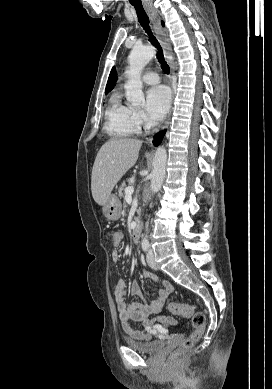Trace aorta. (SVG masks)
<instances>
[{
  "mask_svg": "<svg viewBox=\"0 0 272 389\" xmlns=\"http://www.w3.org/2000/svg\"><path fill=\"white\" fill-rule=\"evenodd\" d=\"M155 48L152 46H135L128 57L129 69L128 81L125 86L127 101L133 106L144 103L142 91L141 72L147 63L154 57ZM167 152L162 146L155 151L153 170L151 173V191L158 192L161 189L166 173Z\"/></svg>",
  "mask_w": 272,
  "mask_h": 389,
  "instance_id": "762f6f07",
  "label": "aorta"
}]
</instances>
